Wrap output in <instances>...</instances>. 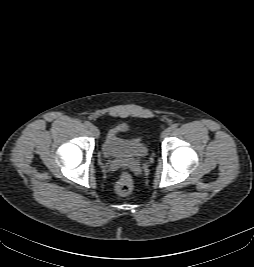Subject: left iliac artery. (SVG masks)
Wrapping results in <instances>:
<instances>
[{
	"instance_id": "44dca946",
	"label": "left iliac artery",
	"mask_w": 254,
	"mask_h": 267,
	"mask_svg": "<svg viewBox=\"0 0 254 267\" xmlns=\"http://www.w3.org/2000/svg\"><path fill=\"white\" fill-rule=\"evenodd\" d=\"M170 128H171L172 130L176 129V128H177V124H173V125H171Z\"/></svg>"
}]
</instances>
